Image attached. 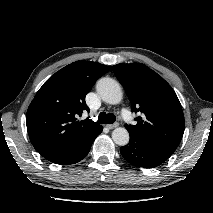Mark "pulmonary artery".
<instances>
[{
  "instance_id": "pulmonary-artery-1",
  "label": "pulmonary artery",
  "mask_w": 213,
  "mask_h": 213,
  "mask_svg": "<svg viewBox=\"0 0 213 213\" xmlns=\"http://www.w3.org/2000/svg\"><path fill=\"white\" fill-rule=\"evenodd\" d=\"M122 115H123V117H124L125 120L129 121L131 119V115H130V113L127 110H124L122 112Z\"/></svg>"
}]
</instances>
